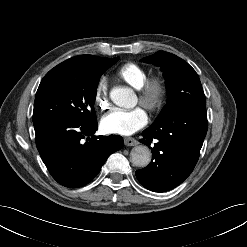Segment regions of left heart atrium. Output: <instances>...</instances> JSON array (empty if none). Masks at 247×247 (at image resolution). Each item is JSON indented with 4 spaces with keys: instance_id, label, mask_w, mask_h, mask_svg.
Masks as SVG:
<instances>
[{
    "instance_id": "39dd6f15",
    "label": "left heart atrium",
    "mask_w": 247,
    "mask_h": 247,
    "mask_svg": "<svg viewBox=\"0 0 247 247\" xmlns=\"http://www.w3.org/2000/svg\"><path fill=\"white\" fill-rule=\"evenodd\" d=\"M147 121V113L141 107L129 110L115 108L102 117L100 126L106 133L131 135L144 127Z\"/></svg>"
}]
</instances>
